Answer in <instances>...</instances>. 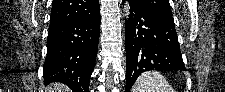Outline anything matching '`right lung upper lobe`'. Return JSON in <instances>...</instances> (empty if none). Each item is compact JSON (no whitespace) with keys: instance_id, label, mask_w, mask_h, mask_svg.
<instances>
[{"instance_id":"obj_1","label":"right lung upper lobe","mask_w":225,"mask_h":92,"mask_svg":"<svg viewBox=\"0 0 225 92\" xmlns=\"http://www.w3.org/2000/svg\"><path fill=\"white\" fill-rule=\"evenodd\" d=\"M99 11L98 0H53L49 29L93 16Z\"/></svg>"}]
</instances>
